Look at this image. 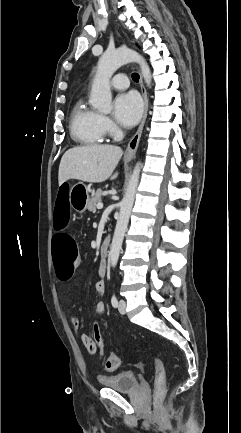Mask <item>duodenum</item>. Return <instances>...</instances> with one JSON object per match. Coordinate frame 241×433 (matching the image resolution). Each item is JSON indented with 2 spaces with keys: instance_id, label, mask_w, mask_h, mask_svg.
I'll use <instances>...</instances> for the list:
<instances>
[{
  "instance_id": "duodenum-1",
  "label": "duodenum",
  "mask_w": 241,
  "mask_h": 433,
  "mask_svg": "<svg viewBox=\"0 0 241 433\" xmlns=\"http://www.w3.org/2000/svg\"><path fill=\"white\" fill-rule=\"evenodd\" d=\"M110 241L108 238L104 239L100 246V256L103 260L107 259L109 253Z\"/></svg>"
}]
</instances>
